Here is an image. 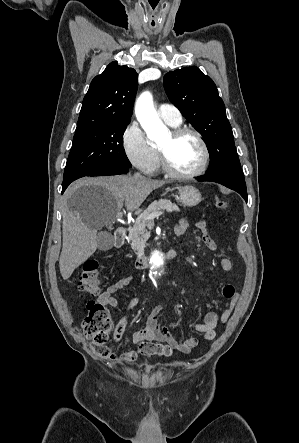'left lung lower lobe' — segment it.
I'll use <instances>...</instances> for the list:
<instances>
[{
    "label": "left lung lower lobe",
    "mask_w": 299,
    "mask_h": 443,
    "mask_svg": "<svg viewBox=\"0 0 299 443\" xmlns=\"http://www.w3.org/2000/svg\"><path fill=\"white\" fill-rule=\"evenodd\" d=\"M198 181H212L220 183L232 190L238 192L247 202V190L244 176L235 174H211L197 177Z\"/></svg>",
    "instance_id": "0a47b994"
}]
</instances>
